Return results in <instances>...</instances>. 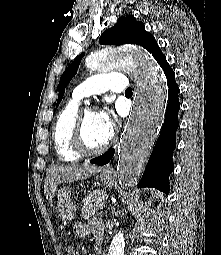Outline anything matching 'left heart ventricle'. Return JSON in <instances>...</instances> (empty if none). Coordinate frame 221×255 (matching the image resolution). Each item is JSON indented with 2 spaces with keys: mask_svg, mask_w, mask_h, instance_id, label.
Returning a JSON list of instances; mask_svg holds the SVG:
<instances>
[{
  "mask_svg": "<svg viewBox=\"0 0 221 255\" xmlns=\"http://www.w3.org/2000/svg\"><path fill=\"white\" fill-rule=\"evenodd\" d=\"M110 135L108 129L101 121L99 113L88 111L85 114L84 137L86 144L91 149L102 146Z\"/></svg>",
  "mask_w": 221,
  "mask_h": 255,
  "instance_id": "obj_1",
  "label": "left heart ventricle"
}]
</instances>
